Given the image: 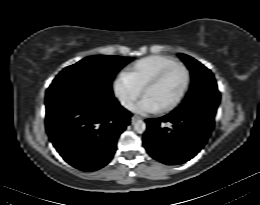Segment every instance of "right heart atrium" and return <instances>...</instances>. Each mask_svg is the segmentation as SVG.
I'll use <instances>...</instances> for the list:
<instances>
[{
    "label": "right heart atrium",
    "instance_id": "obj_1",
    "mask_svg": "<svg viewBox=\"0 0 260 205\" xmlns=\"http://www.w3.org/2000/svg\"><path fill=\"white\" fill-rule=\"evenodd\" d=\"M113 91L123 107L130 109L141 96V89L132 84L125 75L119 76L113 83Z\"/></svg>",
    "mask_w": 260,
    "mask_h": 205
}]
</instances>
